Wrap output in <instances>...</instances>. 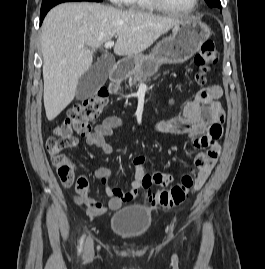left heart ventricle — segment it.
<instances>
[{
  "label": "left heart ventricle",
  "instance_id": "obj_1",
  "mask_svg": "<svg viewBox=\"0 0 265 269\" xmlns=\"http://www.w3.org/2000/svg\"><path fill=\"white\" fill-rule=\"evenodd\" d=\"M168 5L178 9H189L194 0H164Z\"/></svg>",
  "mask_w": 265,
  "mask_h": 269
}]
</instances>
